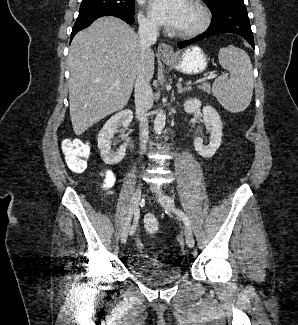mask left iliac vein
<instances>
[{
    "instance_id": "1",
    "label": "left iliac vein",
    "mask_w": 298,
    "mask_h": 325,
    "mask_svg": "<svg viewBox=\"0 0 298 325\" xmlns=\"http://www.w3.org/2000/svg\"><path fill=\"white\" fill-rule=\"evenodd\" d=\"M153 190L159 195V202L165 210H167L169 212H171V211L173 212V210L176 209L175 205H174V201L169 196L164 194L160 188L155 187ZM184 234H185V240H186L187 246L189 248H193L194 247V237H193L191 229L189 227L185 226Z\"/></svg>"
}]
</instances>
